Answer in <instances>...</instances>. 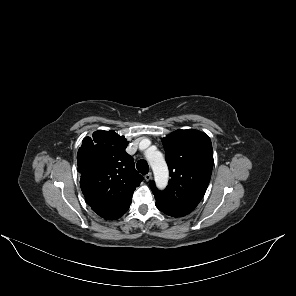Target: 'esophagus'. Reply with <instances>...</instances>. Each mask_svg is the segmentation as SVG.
<instances>
[{"instance_id":"34e87169","label":"esophagus","mask_w":296,"mask_h":296,"mask_svg":"<svg viewBox=\"0 0 296 296\" xmlns=\"http://www.w3.org/2000/svg\"><path fill=\"white\" fill-rule=\"evenodd\" d=\"M144 178H145L146 181H150L151 178H152V173L150 172V173L146 174V175L144 176Z\"/></svg>"}]
</instances>
